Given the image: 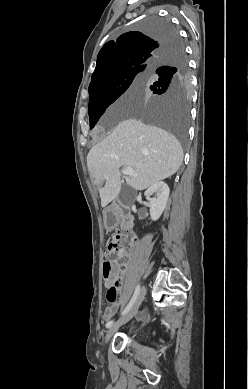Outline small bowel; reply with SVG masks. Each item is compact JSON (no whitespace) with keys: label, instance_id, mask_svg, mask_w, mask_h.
I'll use <instances>...</instances> for the list:
<instances>
[{"label":"small bowel","instance_id":"1","mask_svg":"<svg viewBox=\"0 0 248 389\" xmlns=\"http://www.w3.org/2000/svg\"><path fill=\"white\" fill-rule=\"evenodd\" d=\"M117 304L116 302L115 303H109V305L106 307L105 311H104V318L106 320L110 319L114 314L115 312L117 311Z\"/></svg>","mask_w":248,"mask_h":389}]
</instances>
